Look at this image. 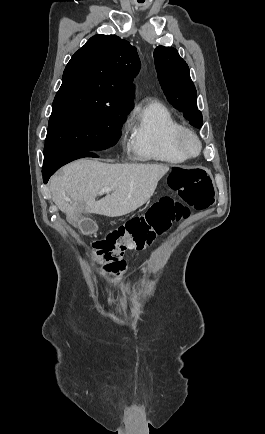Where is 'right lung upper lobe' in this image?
<instances>
[{"instance_id": "1", "label": "right lung upper lobe", "mask_w": 265, "mask_h": 434, "mask_svg": "<svg viewBox=\"0 0 265 434\" xmlns=\"http://www.w3.org/2000/svg\"><path fill=\"white\" fill-rule=\"evenodd\" d=\"M140 68L136 48L116 35L98 34L79 49L65 67L62 85L90 84L133 102V78Z\"/></svg>"}]
</instances>
